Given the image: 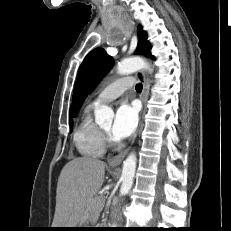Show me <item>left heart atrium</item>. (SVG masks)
I'll use <instances>...</instances> for the list:
<instances>
[{"label": "left heart atrium", "instance_id": "left-heart-atrium-1", "mask_svg": "<svg viewBox=\"0 0 231 231\" xmlns=\"http://www.w3.org/2000/svg\"><path fill=\"white\" fill-rule=\"evenodd\" d=\"M138 113L135 107L128 103H122L115 114L111 135L115 140H123L129 137L136 129Z\"/></svg>", "mask_w": 231, "mask_h": 231}]
</instances>
